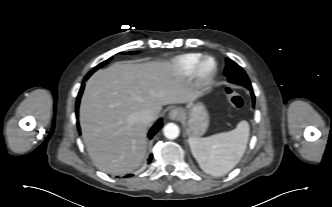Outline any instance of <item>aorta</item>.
Instances as JSON below:
<instances>
[{"label": "aorta", "mask_w": 332, "mask_h": 207, "mask_svg": "<svg viewBox=\"0 0 332 207\" xmlns=\"http://www.w3.org/2000/svg\"><path fill=\"white\" fill-rule=\"evenodd\" d=\"M164 136L168 139H176L179 136V127L174 123H168L163 128Z\"/></svg>", "instance_id": "obj_1"}]
</instances>
